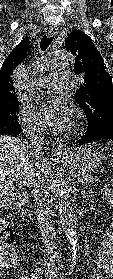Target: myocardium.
<instances>
[{
  "instance_id": "myocardium-1",
  "label": "myocardium",
  "mask_w": 113,
  "mask_h": 279,
  "mask_svg": "<svg viewBox=\"0 0 113 279\" xmlns=\"http://www.w3.org/2000/svg\"><path fill=\"white\" fill-rule=\"evenodd\" d=\"M79 118H80V116H79V114H77V122L72 131H76L79 128V126H80Z\"/></svg>"
}]
</instances>
